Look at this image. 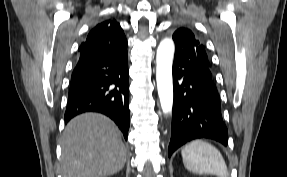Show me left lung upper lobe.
<instances>
[{"mask_svg":"<svg viewBox=\"0 0 287 177\" xmlns=\"http://www.w3.org/2000/svg\"><path fill=\"white\" fill-rule=\"evenodd\" d=\"M173 40L175 42V54L182 56L187 63L196 66L201 72L209 74L213 79L205 46L195 39L194 34L189 29H178L173 34Z\"/></svg>","mask_w":287,"mask_h":177,"instance_id":"obj_1","label":"left lung upper lobe"}]
</instances>
